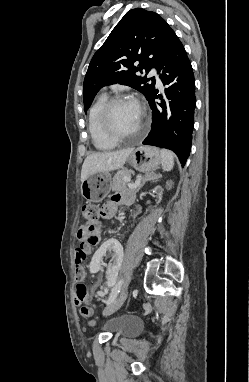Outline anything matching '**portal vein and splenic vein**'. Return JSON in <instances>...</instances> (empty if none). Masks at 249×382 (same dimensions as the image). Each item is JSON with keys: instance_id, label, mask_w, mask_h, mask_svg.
<instances>
[{"instance_id": "18ae733b", "label": "portal vein and splenic vein", "mask_w": 249, "mask_h": 382, "mask_svg": "<svg viewBox=\"0 0 249 382\" xmlns=\"http://www.w3.org/2000/svg\"><path fill=\"white\" fill-rule=\"evenodd\" d=\"M124 181L128 183L129 188H136L139 184L137 181L135 183H131V179L128 177H124Z\"/></svg>"}]
</instances>
